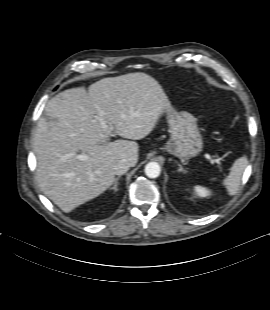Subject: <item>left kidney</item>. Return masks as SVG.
I'll return each instance as SVG.
<instances>
[{
	"label": "left kidney",
	"instance_id": "1",
	"mask_svg": "<svg viewBox=\"0 0 270 310\" xmlns=\"http://www.w3.org/2000/svg\"><path fill=\"white\" fill-rule=\"evenodd\" d=\"M194 190H195L196 194L200 197H207V196L211 195V192L202 186L197 185L194 187Z\"/></svg>",
	"mask_w": 270,
	"mask_h": 310
}]
</instances>
